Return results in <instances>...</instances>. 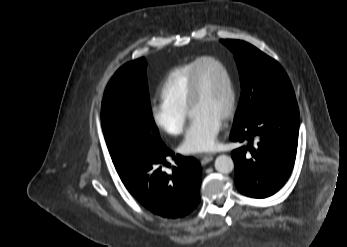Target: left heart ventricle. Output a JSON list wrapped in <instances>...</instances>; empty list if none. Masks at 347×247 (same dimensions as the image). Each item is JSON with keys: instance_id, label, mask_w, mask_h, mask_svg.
I'll use <instances>...</instances> for the list:
<instances>
[{"instance_id": "obj_1", "label": "left heart ventricle", "mask_w": 347, "mask_h": 247, "mask_svg": "<svg viewBox=\"0 0 347 247\" xmlns=\"http://www.w3.org/2000/svg\"><path fill=\"white\" fill-rule=\"evenodd\" d=\"M200 97L192 106L190 115L206 114L220 119L229 102L228 83L223 71L211 63H203L198 70Z\"/></svg>"}]
</instances>
